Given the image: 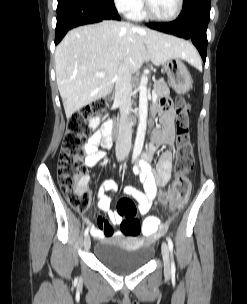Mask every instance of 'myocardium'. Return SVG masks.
I'll use <instances>...</instances> for the list:
<instances>
[{
	"instance_id": "f54148a6",
	"label": "myocardium",
	"mask_w": 247,
	"mask_h": 304,
	"mask_svg": "<svg viewBox=\"0 0 247 304\" xmlns=\"http://www.w3.org/2000/svg\"><path fill=\"white\" fill-rule=\"evenodd\" d=\"M183 4H184V0H177V8L171 16L158 17L151 11L149 4H148V0H143V12H144L145 16L151 20L158 21V22H172L180 16L182 9H183Z\"/></svg>"
}]
</instances>
